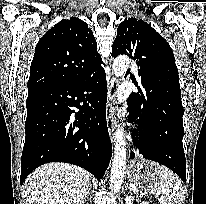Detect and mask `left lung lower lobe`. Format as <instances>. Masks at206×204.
<instances>
[{
    "label": "left lung lower lobe",
    "instance_id": "left-lung-lower-lobe-1",
    "mask_svg": "<svg viewBox=\"0 0 206 204\" xmlns=\"http://www.w3.org/2000/svg\"><path fill=\"white\" fill-rule=\"evenodd\" d=\"M141 78L140 93H131L128 100V120L138 124L134 137L139 153L145 159L156 161L173 170L184 182L186 181V160L183 150V106L181 98L172 88L162 92L161 103H155L149 111L150 100L145 90V73ZM170 98V99H167ZM135 154L131 152L130 158Z\"/></svg>",
    "mask_w": 206,
    "mask_h": 204
}]
</instances>
